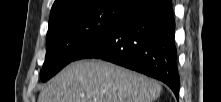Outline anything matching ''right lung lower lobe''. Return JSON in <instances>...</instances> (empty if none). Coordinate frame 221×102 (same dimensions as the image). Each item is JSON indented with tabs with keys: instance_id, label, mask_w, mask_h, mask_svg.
Returning <instances> with one entry per match:
<instances>
[{
	"instance_id": "right-lung-lower-lobe-1",
	"label": "right lung lower lobe",
	"mask_w": 221,
	"mask_h": 102,
	"mask_svg": "<svg viewBox=\"0 0 221 102\" xmlns=\"http://www.w3.org/2000/svg\"><path fill=\"white\" fill-rule=\"evenodd\" d=\"M99 58L161 80L179 97L175 19L170 0H145L76 60Z\"/></svg>"
}]
</instances>
